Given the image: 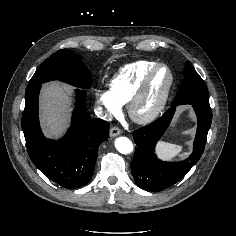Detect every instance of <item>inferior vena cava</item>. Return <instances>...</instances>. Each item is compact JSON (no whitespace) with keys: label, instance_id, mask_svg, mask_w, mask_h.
<instances>
[{"label":"inferior vena cava","instance_id":"inferior-vena-cava-1","mask_svg":"<svg viewBox=\"0 0 236 236\" xmlns=\"http://www.w3.org/2000/svg\"><path fill=\"white\" fill-rule=\"evenodd\" d=\"M94 112L98 118L101 119H111V114H108L103 110V107L101 105H97L94 109Z\"/></svg>","mask_w":236,"mask_h":236}]
</instances>
